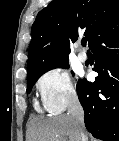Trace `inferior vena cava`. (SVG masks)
I'll list each match as a JSON object with an SVG mask.
<instances>
[{"label": "inferior vena cava", "mask_w": 119, "mask_h": 141, "mask_svg": "<svg viewBox=\"0 0 119 141\" xmlns=\"http://www.w3.org/2000/svg\"><path fill=\"white\" fill-rule=\"evenodd\" d=\"M68 115H70L76 127L80 141H88L84 130V111L78 100L77 95L72 94L68 99Z\"/></svg>", "instance_id": "602c4592"}]
</instances>
